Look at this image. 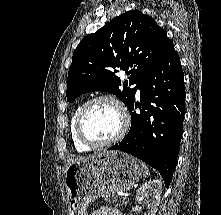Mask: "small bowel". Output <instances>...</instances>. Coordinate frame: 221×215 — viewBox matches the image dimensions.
I'll use <instances>...</instances> for the list:
<instances>
[{"instance_id": "c3829d8e", "label": "small bowel", "mask_w": 221, "mask_h": 215, "mask_svg": "<svg viewBox=\"0 0 221 215\" xmlns=\"http://www.w3.org/2000/svg\"><path fill=\"white\" fill-rule=\"evenodd\" d=\"M92 215H121V213L111 207H102L95 210Z\"/></svg>"}]
</instances>
